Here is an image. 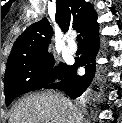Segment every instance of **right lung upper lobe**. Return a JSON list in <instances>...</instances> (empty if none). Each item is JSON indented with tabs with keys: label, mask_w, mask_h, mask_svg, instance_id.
Here are the masks:
<instances>
[{
	"label": "right lung upper lobe",
	"mask_w": 122,
	"mask_h": 123,
	"mask_svg": "<svg viewBox=\"0 0 122 123\" xmlns=\"http://www.w3.org/2000/svg\"><path fill=\"white\" fill-rule=\"evenodd\" d=\"M56 22L64 32L69 28L78 29L84 39L99 29L97 13L85 0H57ZM52 35V27L46 18L30 25L15 41L7 68L27 59L48 54Z\"/></svg>",
	"instance_id": "right-lung-upper-lobe-1"
}]
</instances>
